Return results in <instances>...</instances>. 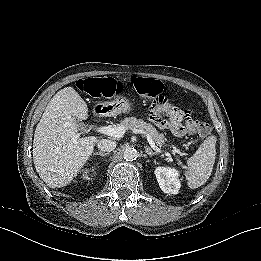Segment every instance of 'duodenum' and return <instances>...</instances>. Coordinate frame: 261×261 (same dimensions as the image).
I'll return each mask as SVG.
<instances>
[{
    "mask_svg": "<svg viewBox=\"0 0 261 261\" xmlns=\"http://www.w3.org/2000/svg\"><path fill=\"white\" fill-rule=\"evenodd\" d=\"M106 112L104 110H96L94 112V117L95 118H101L102 116H105Z\"/></svg>",
    "mask_w": 261,
    "mask_h": 261,
    "instance_id": "1",
    "label": "duodenum"
}]
</instances>
